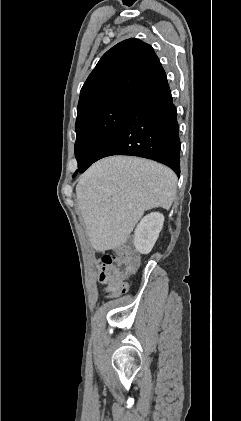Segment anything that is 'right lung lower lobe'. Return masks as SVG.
<instances>
[{
	"label": "right lung lower lobe",
	"instance_id": "obj_1",
	"mask_svg": "<svg viewBox=\"0 0 241 421\" xmlns=\"http://www.w3.org/2000/svg\"><path fill=\"white\" fill-rule=\"evenodd\" d=\"M180 145L177 110L163 72L131 99L120 126L95 161L111 155L138 156L179 174ZM85 170H77L74 176Z\"/></svg>",
	"mask_w": 241,
	"mask_h": 421
}]
</instances>
